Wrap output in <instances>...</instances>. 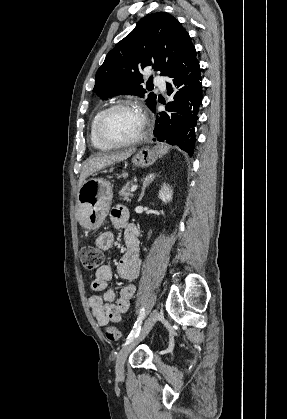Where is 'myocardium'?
I'll return each instance as SVG.
<instances>
[{
	"mask_svg": "<svg viewBox=\"0 0 287 419\" xmlns=\"http://www.w3.org/2000/svg\"><path fill=\"white\" fill-rule=\"evenodd\" d=\"M123 108H129V109H135L139 112V114L141 115V119H142V127L140 132L133 138L128 139V140H113L108 138L105 133L103 132V126L105 123V120L107 119V117L109 116V114H111L113 111L118 110V109H123ZM147 132V119L145 117V115L139 111L131 102L129 101H119L116 102L112 105H110L109 107L105 108L101 114L99 115L97 122H96V135L98 137V139L105 145L110 146V147H122V146H128V145H133L136 144L138 142H140L146 135Z\"/></svg>",
	"mask_w": 287,
	"mask_h": 419,
	"instance_id": "obj_1",
	"label": "myocardium"
}]
</instances>
